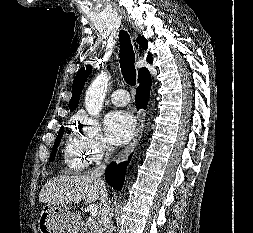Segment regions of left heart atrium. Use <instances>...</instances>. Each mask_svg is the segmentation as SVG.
I'll return each instance as SVG.
<instances>
[{"label": "left heart atrium", "mask_w": 253, "mask_h": 233, "mask_svg": "<svg viewBox=\"0 0 253 233\" xmlns=\"http://www.w3.org/2000/svg\"><path fill=\"white\" fill-rule=\"evenodd\" d=\"M105 129L109 140L113 144L122 145L132 137L135 121L128 112L113 111L105 118Z\"/></svg>", "instance_id": "1"}]
</instances>
